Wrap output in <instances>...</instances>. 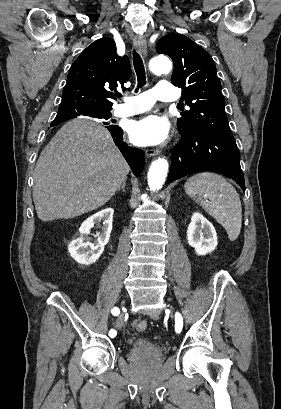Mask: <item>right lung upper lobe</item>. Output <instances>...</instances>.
<instances>
[{
    "label": "right lung upper lobe",
    "instance_id": "1",
    "mask_svg": "<svg viewBox=\"0 0 281 409\" xmlns=\"http://www.w3.org/2000/svg\"><path fill=\"white\" fill-rule=\"evenodd\" d=\"M131 76L129 59L116 54L113 39L104 37L88 46L72 64L58 111L110 112L112 92Z\"/></svg>",
    "mask_w": 281,
    "mask_h": 409
}]
</instances>
